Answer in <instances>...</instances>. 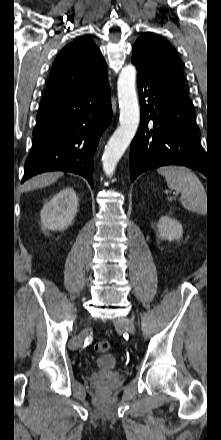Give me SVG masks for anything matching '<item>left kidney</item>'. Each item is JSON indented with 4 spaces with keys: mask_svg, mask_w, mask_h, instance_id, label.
<instances>
[{
    "mask_svg": "<svg viewBox=\"0 0 221 440\" xmlns=\"http://www.w3.org/2000/svg\"><path fill=\"white\" fill-rule=\"evenodd\" d=\"M158 232L164 240H178L182 237V225L175 219L169 216H162L158 221Z\"/></svg>",
    "mask_w": 221,
    "mask_h": 440,
    "instance_id": "left-kidney-1",
    "label": "left kidney"
}]
</instances>
